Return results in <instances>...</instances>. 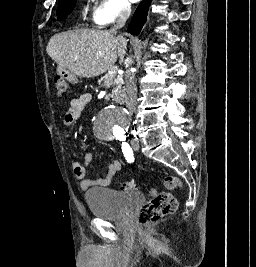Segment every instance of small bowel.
<instances>
[{"label": "small bowel", "instance_id": "1", "mask_svg": "<svg viewBox=\"0 0 256 267\" xmlns=\"http://www.w3.org/2000/svg\"><path fill=\"white\" fill-rule=\"evenodd\" d=\"M91 94L90 93H82L79 97L72 99L70 101V106L67 112L63 117V124L68 126L71 125L76 119L80 117L84 108L90 103L91 101ZM69 144H74V141H69ZM92 161V155L89 152L84 154V163L85 165H89ZM121 163L118 160H114L111 162L105 174L96 179H88L86 178V168L82 164H80L76 160H72V170L73 174L76 178L81 180L80 186L83 190H88L94 186H107L111 183L115 174L120 170Z\"/></svg>", "mask_w": 256, "mask_h": 267}]
</instances>
